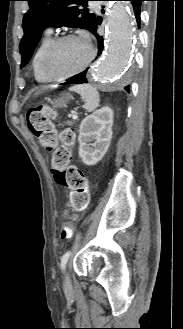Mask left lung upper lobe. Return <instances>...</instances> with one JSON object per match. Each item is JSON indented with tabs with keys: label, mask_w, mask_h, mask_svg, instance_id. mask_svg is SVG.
Here are the masks:
<instances>
[{
	"label": "left lung upper lobe",
	"mask_w": 183,
	"mask_h": 329,
	"mask_svg": "<svg viewBox=\"0 0 183 329\" xmlns=\"http://www.w3.org/2000/svg\"><path fill=\"white\" fill-rule=\"evenodd\" d=\"M29 10L23 18L24 36L19 48L22 55L21 68L31 59L42 32L47 27L84 28L91 31L95 15L79 9L87 6L90 0H26Z\"/></svg>",
	"instance_id": "1"
}]
</instances>
